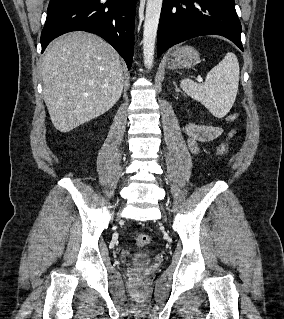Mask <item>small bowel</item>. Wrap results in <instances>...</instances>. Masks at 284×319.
I'll list each match as a JSON object with an SVG mask.
<instances>
[{
    "instance_id": "obj_1",
    "label": "small bowel",
    "mask_w": 284,
    "mask_h": 319,
    "mask_svg": "<svg viewBox=\"0 0 284 319\" xmlns=\"http://www.w3.org/2000/svg\"><path fill=\"white\" fill-rule=\"evenodd\" d=\"M188 146L193 153L199 151V145L211 142L223 134V129L208 123H189L185 127Z\"/></svg>"
}]
</instances>
